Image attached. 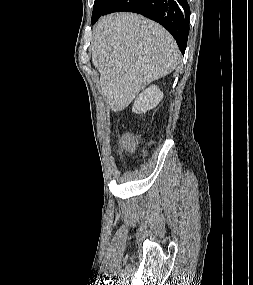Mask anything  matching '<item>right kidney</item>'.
Returning a JSON list of instances; mask_svg holds the SVG:
<instances>
[{
  "label": "right kidney",
  "instance_id": "right-kidney-1",
  "mask_svg": "<svg viewBox=\"0 0 253 285\" xmlns=\"http://www.w3.org/2000/svg\"><path fill=\"white\" fill-rule=\"evenodd\" d=\"M163 99V92L156 85H151L136 98L132 111L137 114L145 113L155 108Z\"/></svg>",
  "mask_w": 253,
  "mask_h": 285
}]
</instances>
